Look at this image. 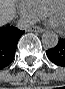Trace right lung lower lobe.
<instances>
[{
    "label": "right lung lower lobe",
    "mask_w": 65,
    "mask_h": 89,
    "mask_svg": "<svg viewBox=\"0 0 65 89\" xmlns=\"http://www.w3.org/2000/svg\"><path fill=\"white\" fill-rule=\"evenodd\" d=\"M24 32L13 26L0 27V70L13 61L18 40Z\"/></svg>",
    "instance_id": "obj_1"
}]
</instances>
